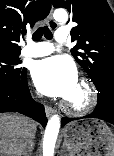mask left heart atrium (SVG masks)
<instances>
[{
	"mask_svg": "<svg viewBox=\"0 0 114 156\" xmlns=\"http://www.w3.org/2000/svg\"><path fill=\"white\" fill-rule=\"evenodd\" d=\"M36 88L51 97L67 99L77 85V70L66 56H52L36 61L31 68Z\"/></svg>",
	"mask_w": 114,
	"mask_h": 156,
	"instance_id": "1",
	"label": "left heart atrium"
}]
</instances>
